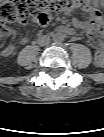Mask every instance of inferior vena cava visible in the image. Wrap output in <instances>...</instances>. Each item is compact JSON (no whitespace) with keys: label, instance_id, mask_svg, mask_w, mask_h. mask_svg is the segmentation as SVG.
I'll return each mask as SVG.
<instances>
[{"label":"inferior vena cava","instance_id":"602c4592","mask_svg":"<svg viewBox=\"0 0 104 137\" xmlns=\"http://www.w3.org/2000/svg\"><path fill=\"white\" fill-rule=\"evenodd\" d=\"M38 43L43 47H48L51 44V39L46 35H41L38 38Z\"/></svg>","mask_w":104,"mask_h":137}]
</instances>
